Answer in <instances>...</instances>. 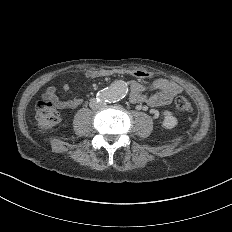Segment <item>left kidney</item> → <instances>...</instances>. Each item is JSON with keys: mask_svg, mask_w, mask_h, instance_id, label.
I'll list each match as a JSON object with an SVG mask.
<instances>
[{"mask_svg": "<svg viewBox=\"0 0 232 232\" xmlns=\"http://www.w3.org/2000/svg\"><path fill=\"white\" fill-rule=\"evenodd\" d=\"M176 124V120L175 118L171 117V116H168L166 117L165 119V126L167 127H172Z\"/></svg>", "mask_w": 232, "mask_h": 232, "instance_id": "5707ae66", "label": "left kidney"}]
</instances>
